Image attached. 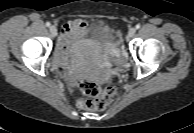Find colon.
<instances>
[{
    "label": "colon",
    "instance_id": "5ec220e1",
    "mask_svg": "<svg viewBox=\"0 0 194 133\" xmlns=\"http://www.w3.org/2000/svg\"><path fill=\"white\" fill-rule=\"evenodd\" d=\"M78 88L87 98L79 99L77 104L80 108L90 111H100L106 108L115 98L114 87L101 88L94 82L82 80L78 83Z\"/></svg>",
    "mask_w": 194,
    "mask_h": 133
}]
</instances>
